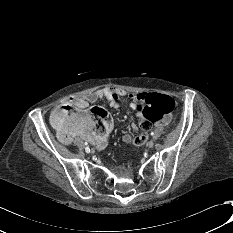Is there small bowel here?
Segmentation results:
<instances>
[{
  "label": "small bowel",
  "instance_id": "small-bowel-1",
  "mask_svg": "<svg viewBox=\"0 0 233 233\" xmlns=\"http://www.w3.org/2000/svg\"><path fill=\"white\" fill-rule=\"evenodd\" d=\"M139 93L141 92L131 94L126 92L125 90L118 88H103L83 96L72 97L68 100L67 105L72 106L73 110L75 111H83L84 109L88 108L90 104L96 103L99 100H106L111 108L118 109L120 107V98L129 97L132 100V110L138 116H141V112H139L134 106V99ZM58 112L59 107L53 111L52 115L58 114ZM73 113H71L69 117L73 115ZM102 126V131L88 133L87 130L76 126L75 122H73L72 124L68 125V127L63 131L57 129L56 130L59 139L63 143L69 144L72 142L75 136H80L90 142L95 148L100 150L103 149L108 142V139L113 130V122L112 120L108 122H102ZM137 131V125L135 123H132L131 130L123 136V141L126 143H131L134 140Z\"/></svg>",
  "mask_w": 233,
  "mask_h": 233
}]
</instances>
